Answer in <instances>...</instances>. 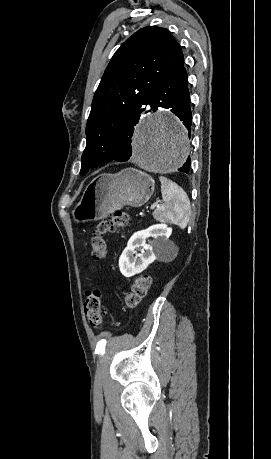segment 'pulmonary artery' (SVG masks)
I'll return each mask as SVG.
<instances>
[{"instance_id": "pulmonary-artery-1", "label": "pulmonary artery", "mask_w": 271, "mask_h": 459, "mask_svg": "<svg viewBox=\"0 0 271 459\" xmlns=\"http://www.w3.org/2000/svg\"><path fill=\"white\" fill-rule=\"evenodd\" d=\"M145 107H146L148 110H151V109L154 107V104H153L151 101H148V102L145 104Z\"/></svg>"}]
</instances>
